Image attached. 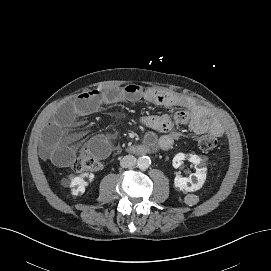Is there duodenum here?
<instances>
[{
  "instance_id": "410a0bca",
  "label": "duodenum",
  "mask_w": 271,
  "mask_h": 271,
  "mask_svg": "<svg viewBox=\"0 0 271 271\" xmlns=\"http://www.w3.org/2000/svg\"><path fill=\"white\" fill-rule=\"evenodd\" d=\"M148 151H149V150H148L147 148H141V149L138 150V153H139L140 155H144V154H147Z\"/></svg>"
}]
</instances>
